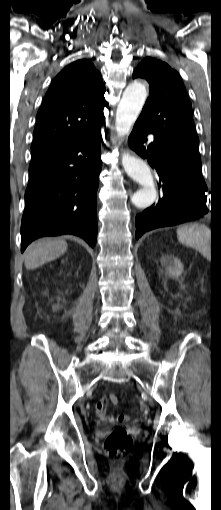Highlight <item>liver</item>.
Instances as JSON below:
<instances>
[{
    "label": "liver",
    "instance_id": "1",
    "mask_svg": "<svg viewBox=\"0 0 221 510\" xmlns=\"http://www.w3.org/2000/svg\"><path fill=\"white\" fill-rule=\"evenodd\" d=\"M67 250V243L62 239H41L26 250L25 267L28 270L36 269L43 264L55 260Z\"/></svg>",
    "mask_w": 221,
    "mask_h": 510
}]
</instances>
